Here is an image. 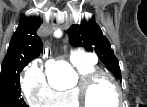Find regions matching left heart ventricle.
<instances>
[{
	"label": "left heart ventricle",
	"instance_id": "left-heart-ventricle-1",
	"mask_svg": "<svg viewBox=\"0 0 147 107\" xmlns=\"http://www.w3.org/2000/svg\"><path fill=\"white\" fill-rule=\"evenodd\" d=\"M89 100L92 107H113L117 104V93L112 83L102 80L90 91Z\"/></svg>",
	"mask_w": 147,
	"mask_h": 107
}]
</instances>
